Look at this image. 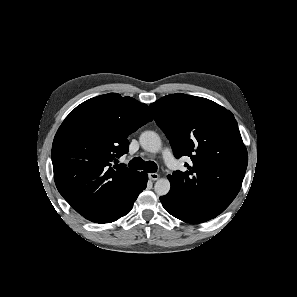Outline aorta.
I'll list each match as a JSON object with an SVG mask.
<instances>
[{
    "mask_svg": "<svg viewBox=\"0 0 297 297\" xmlns=\"http://www.w3.org/2000/svg\"><path fill=\"white\" fill-rule=\"evenodd\" d=\"M141 147L151 153L160 151L162 143L159 135L154 131H145L139 138ZM170 182L167 178H160L154 185V191L158 196H164L170 191Z\"/></svg>",
    "mask_w": 297,
    "mask_h": 297,
    "instance_id": "762f6f07",
    "label": "aorta"
}]
</instances>
